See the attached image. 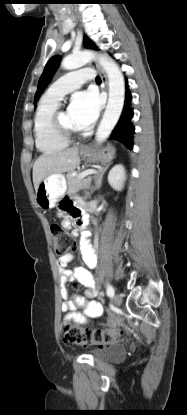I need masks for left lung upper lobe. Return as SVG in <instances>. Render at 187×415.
Here are the masks:
<instances>
[{"label":"left lung upper lobe","mask_w":187,"mask_h":415,"mask_svg":"<svg viewBox=\"0 0 187 415\" xmlns=\"http://www.w3.org/2000/svg\"><path fill=\"white\" fill-rule=\"evenodd\" d=\"M83 45L86 48L89 49H97V47L95 46V44L88 39L86 36H84L83 39ZM60 57L59 56H53L46 64L44 71L39 79V83H38V89L37 92L35 94V98H34V102H36L38 100V98L40 97L41 93L43 92V90L45 89V87L49 84V82L51 81V78L53 76V74L55 73L59 62H60Z\"/></svg>","instance_id":"5c2ea615"}]
</instances>
